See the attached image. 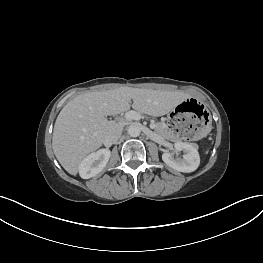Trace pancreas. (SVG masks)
<instances>
[{
	"label": "pancreas",
	"mask_w": 263,
	"mask_h": 263,
	"mask_svg": "<svg viewBox=\"0 0 263 263\" xmlns=\"http://www.w3.org/2000/svg\"><path fill=\"white\" fill-rule=\"evenodd\" d=\"M155 125V133L166 139H173V132L165 123L157 122Z\"/></svg>",
	"instance_id": "cf45deb5"
}]
</instances>
